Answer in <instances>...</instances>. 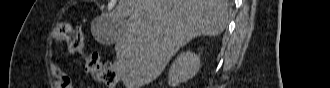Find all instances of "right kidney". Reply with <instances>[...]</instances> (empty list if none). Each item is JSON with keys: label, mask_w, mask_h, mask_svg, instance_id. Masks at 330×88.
<instances>
[{"label": "right kidney", "mask_w": 330, "mask_h": 88, "mask_svg": "<svg viewBox=\"0 0 330 88\" xmlns=\"http://www.w3.org/2000/svg\"><path fill=\"white\" fill-rule=\"evenodd\" d=\"M200 56L187 51L181 53L172 63L168 73V84L172 87L188 81L200 70Z\"/></svg>", "instance_id": "obj_1"}]
</instances>
